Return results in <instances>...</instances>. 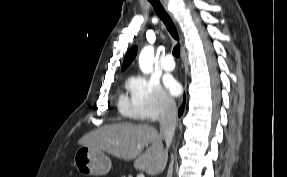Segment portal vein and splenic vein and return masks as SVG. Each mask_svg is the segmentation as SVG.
<instances>
[{
  "mask_svg": "<svg viewBox=\"0 0 287 177\" xmlns=\"http://www.w3.org/2000/svg\"><path fill=\"white\" fill-rule=\"evenodd\" d=\"M137 177H145V175L143 173H140L137 175Z\"/></svg>",
  "mask_w": 287,
  "mask_h": 177,
  "instance_id": "obj_1",
  "label": "portal vein and splenic vein"
}]
</instances>
